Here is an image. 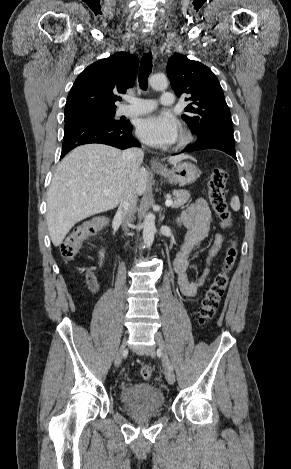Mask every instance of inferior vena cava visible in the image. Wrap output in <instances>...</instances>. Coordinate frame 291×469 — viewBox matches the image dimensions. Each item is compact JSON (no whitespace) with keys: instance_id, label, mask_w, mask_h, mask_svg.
I'll return each mask as SVG.
<instances>
[{"instance_id":"obj_1","label":"inferior vena cava","mask_w":291,"mask_h":469,"mask_svg":"<svg viewBox=\"0 0 291 469\" xmlns=\"http://www.w3.org/2000/svg\"><path fill=\"white\" fill-rule=\"evenodd\" d=\"M144 152L139 148H130L123 152L122 160L129 172V179L132 181L136 178L138 170L143 162ZM137 193L128 185L125 188L122 200L120 202L117 216L123 222V229L128 230V225L133 221V214L137 205Z\"/></svg>"}]
</instances>
